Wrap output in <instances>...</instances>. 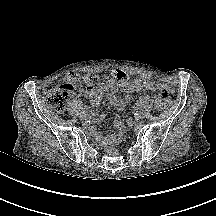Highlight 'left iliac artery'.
<instances>
[{"label": "left iliac artery", "mask_w": 216, "mask_h": 216, "mask_svg": "<svg viewBox=\"0 0 216 216\" xmlns=\"http://www.w3.org/2000/svg\"><path fill=\"white\" fill-rule=\"evenodd\" d=\"M138 106V105H137ZM136 106V109L138 110V107ZM135 117H138L140 114L138 112L134 113Z\"/></svg>", "instance_id": "44dca946"}]
</instances>
